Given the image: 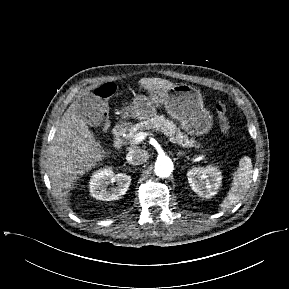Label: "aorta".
Wrapping results in <instances>:
<instances>
[{
	"label": "aorta",
	"mask_w": 289,
	"mask_h": 289,
	"mask_svg": "<svg viewBox=\"0 0 289 289\" xmlns=\"http://www.w3.org/2000/svg\"><path fill=\"white\" fill-rule=\"evenodd\" d=\"M155 174L161 178L170 176L173 171V162L167 156H160L155 162Z\"/></svg>",
	"instance_id": "aorta-1"
}]
</instances>
